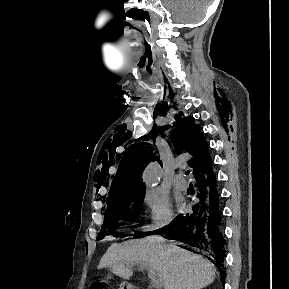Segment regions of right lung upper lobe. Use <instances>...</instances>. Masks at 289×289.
I'll use <instances>...</instances> for the list:
<instances>
[{
    "label": "right lung upper lobe",
    "instance_id": "obj_1",
    "mask_svg": "<svg viewBox=\"0 0 289 289\" xmlns=\"http://www.w3.org/2000/svg\"><path fill=\"white\" fill-rule=\"evenodd\" d=\"M177 126L173 131V142L178 153L188 152L192 159L188 163L193 167L195 179H199L212 170V161L208 153V145L200 126L194 124L192 117H184L180 113ZM150 146L146 143H135L124 154L118 171L113 179L107 204L122 201L136 194H145L141 175L145 166L155 160Z\"/></svg>",
    "mask_w": 289,
    "mask_h": 289
}]
</instances>
